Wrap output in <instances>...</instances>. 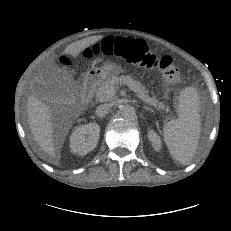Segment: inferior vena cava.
<instances>
[{"label": "inferior vena cava", "instance_id": "602c4592", "mask_svg": "<svg viewBox=\"0 0 231 231\" xmlns=\"http://www.w3.org/2000/svg\"><path fill=\"white\" fill-rule=\"evenodd\" d=\"M110 111V104H101L96 108V115L98 117L106 116Z\"/></svg>", "mask_w": 231, "mask_h": 231}]
</instances>
